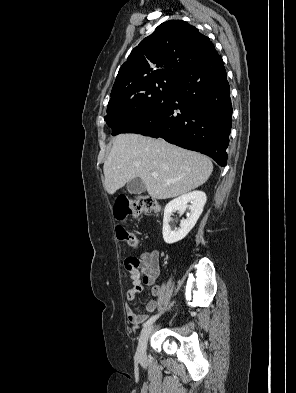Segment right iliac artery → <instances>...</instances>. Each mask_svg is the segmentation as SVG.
Segmentation results:
<instances>
[{"label":"right iliac artery","instance_id":"obj_1","mask_svg":"<svg viewBox=\"0 0 296 393\" xmlns=\"http://www.w3.org/2000/svg\"><path fill=\"white\" fill-rule=\"evenodd\" d=\"M171 305H172V304H171ZM159 315H160V314L154 315V316H152L149 320H147V321L144 323L143 328L145 329V328H147L148 326H150V325L159 317Z\"/></svg>","mask_w":296,"mask_h":393}]
</instances>
